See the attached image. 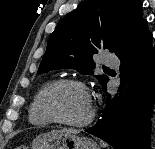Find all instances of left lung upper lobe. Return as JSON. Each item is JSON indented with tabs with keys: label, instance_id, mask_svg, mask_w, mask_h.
<instances>
[{
	"label": "left lung upper lobe",
	"instance_id": "left-lung-upper-lobe-1",
	"mask_svg": "<svg viewBox=\"0 0 155 149\" xmlns=\"http://www.w3.org/2000/svg\"><path fill=\"white\" fill-rule=\"evenodd\" d=\"M141 8L140 0H85L51 33L37 73L71 68L93 75V55L125 45L145 21ZM96 77L102 85L109 80L106 75Z\"/></svg>",
	"mask_w": 155,
	"mask_h": 149
}]
</instances>
